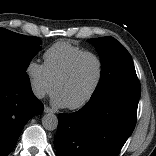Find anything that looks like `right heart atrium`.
Segmentation results:
<instances>
[{"mask_svg":"<svg viewBox=\"0 0 156 156\" xmlns=\"http://www.w3.org/2000/svg\"><path fill=\"white\" fill-rule=\"evenodd\" d=\"M25 74L35 97L42 99L53 91L55 82L49 76L44 63L30 60L26 65Z\"/></svg>","mask_w":156,"mask_h":156,"instance_id":"right-heart-atrium-1","label":"right heart atrium"}]
</instances>
